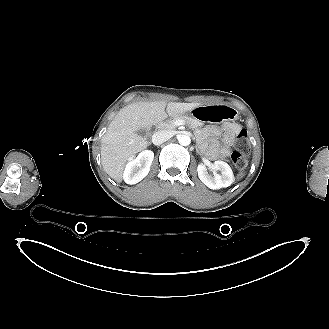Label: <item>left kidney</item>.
I'll return each instance as SVG.
<instances>
[{"mask_svg": "<svg viewBox=\"0 0 329 329\" xmlns=\"http://www.w3.org/2000/svg\"><path fill=\"white\" fill-rule=\"evenodd\" d=\"M214 169L221 174L214 173L210 175L204 164H199L197 167L199 179L210 189H220L230 186L234 181V176L230 166L223 161H215Z\"/></svg>", "mask_w": 329, "mask_h": 329, "instance_id": "left-kidney-1", "label": "left kidney"}]
</instances>
